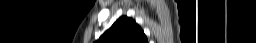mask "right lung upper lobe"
<instances>
[{
	"instance_id": "cb5924a9",
	"label": "right lung upper lobe",
	"mask_w": 256,
	"mask_h": 43,
	"mask_svg": "<svg viewBox=\"0 0 256 43\" xmlns=\"http://www.w3.org/2000/svg\"><path fill=\"white\" fill-rule=\"evenodd\" d=\"M97 43H148L141 27L129 17H120Z\"/></svg>"
}]
</instances>
